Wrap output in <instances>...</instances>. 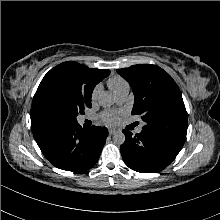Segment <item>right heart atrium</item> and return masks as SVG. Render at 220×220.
<instances>
[{
	"label": "right heart atrium",
	"mask_w": 220,
	"mask_h": 220,
	"mask_svg": "<svg viewBox=\"0 0 220 220\" xmlns=\"http://www.w3.org/2000/svg\"><path fill=\"white\" fill-rule=\"evenodd\" d=\"M99 91H100V86L99 85H96L94 87V89L92 90V93H91V100L92 101H95L97 99V96L99 94Z\"/></svg>",
	"instance_id": "d8ad5b80"
}]
</instances>
